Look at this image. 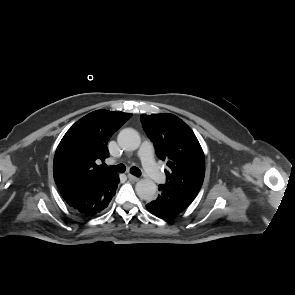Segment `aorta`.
Here are the masks:
<instances>
[{
  "mask_svg": "<svg viewBox=\"0 0 295 295\" xmlns=\"http://www.w3.org/2000/svg\"><path fill=\"white\" fill-rule=\"evenodd\" d=\"M119 146L127 151L138 149L141 143L139 133L132 128L121 130L117 137ZM135 190L140 199L151 202L156 198L157 186L151 179H141L136 183Z\"/></svg>",
  "mask_w": 295,
  "mask_h": 295,
  "instance_id": "762f6f07",
  "label": "aorta"
}]
</instances>
